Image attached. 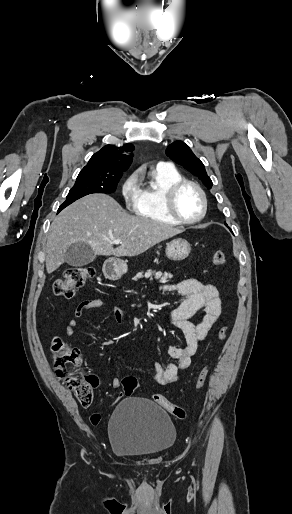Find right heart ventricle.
<instances>
[{
    "label": "right heart ventricle",
    "instance_id": "1",
    "mask_svg": "<svg viewBox=\"0 0 292 514\" xmlns=\"http://www.w3.org/2000/svg\"><path fill=\"white\" fill-rule=\"evenodd\" d=\"M151 178L157 184L156 187L146 185L141 188L139 201L132 211L137 216L172 225L174 222L163 209L161 193L169 186L182 180V177L176 170L161 172L156 169L151 173Z\"/></svg>",
    "mask_w": 292,
    "mask_h": 514
}]
</instances>
